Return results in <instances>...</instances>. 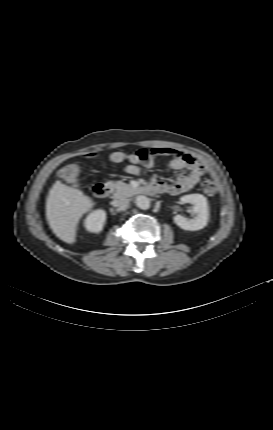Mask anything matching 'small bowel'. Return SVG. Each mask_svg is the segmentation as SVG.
I'll return each instance as SVG.
<instances>
[{
	"label": "small bowel",
	"instance_id": "obj_1",
	"mask_svg": "<svg viewBox=\"0 0 273 430\" xmlns=\"http://www.w3.org/2000/svg\"><path fill=\"white\" fill-rule=\"evenodd\" d=\"M161 156L172 158L169 163L170 168L174 170L187 169L188 173L179 175L171 184L153 178L148 186L149 192L182 194L194 188L206 171L205 166L192 154L167 147L140 149L134 153L116 151L109 155V160L113 163L128 161L129 165L126 166L125 171L137 175L141 172V166L151 168L155 160Z\"/></svg>",
	"mask_w": 273,
	"mask_h": 430
}]
</instances>
